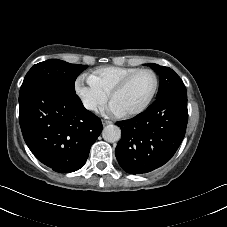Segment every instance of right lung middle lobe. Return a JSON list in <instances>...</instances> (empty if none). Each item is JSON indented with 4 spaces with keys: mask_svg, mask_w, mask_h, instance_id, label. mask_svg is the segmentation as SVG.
Segmentation results:
<instances>
[{
    "mask_svg": "<svg viewBox=\"0 0 227 227\" xmlns=\"http://www.w3.org/2000/svg\"><path fill=\"white\" fill-rule=\"evenodd\" d=\"M86 65L70 64L58 59H50L35 64L26 74L20 92L38 83H48L75 94L74 83Z\"/></svg>",
    "mask_w": 227,
    "mask_h": 227,
    "instance_id": "1",
    "label": "right lung middle lobe"
}]
</instances>
